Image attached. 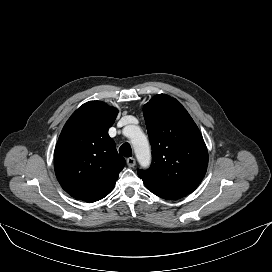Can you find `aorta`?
<instances>
[{"label": "aorta", "mask_w": 272, "mask_h": 272, "mask_svg": "<svg viewBox=\"0 0 272 272\" xmlns=\"http://www.w3.org/2000/svg\"><path fill=\"white\" fill-rule=\"evenodd\" d=\"M128 130V137L131 140L139 164L142 167L149 166L151 151L147 137L138 126H129Z\"/></svg>", "instance_id": "aorta-1"}]
</instances>
